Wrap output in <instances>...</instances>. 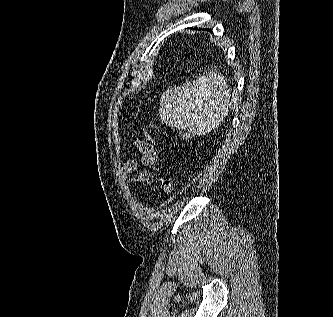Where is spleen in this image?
<instances>
[{"instance_id": "3e777b00", "label": "spleen", "mask_w": 333, "mask_h": 317, "mask_svg": "<svg viewBox=\"0 0 333 317\" xmlns=\"http://www.w3.org/2000/svg\"><path fill=\"white\" fill-rule=\"evenodd\" d=\"M230 101V88L216 71L165 91L159 114L168 126L205 135L224 121Z\"/></svg>"}]
</instances>
